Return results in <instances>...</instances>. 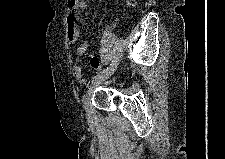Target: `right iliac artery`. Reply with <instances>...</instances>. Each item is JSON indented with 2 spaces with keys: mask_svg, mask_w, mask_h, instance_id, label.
<instances>
[{
  "mask_svg": "<svg viewBox=\"0 0 225 159\" xmlns=\"http://www.w3.org/2000/svg\"><path fill=\"white\" fill-rule=\"evenodd\" d=\"M118 60H119V58L116 57V58L114 59V61H112V64H110V67H107L106 69H104V70H103L101 73H99L97 76H99V75H101V74L107 72L111 67H113L115 64H117ZM97 76H95V77L93 78L92 82L96 79Z\"/></svg>",
  "mask_w": 225,
  "mask_h": 159,
  "instance_id": "obj_1",
  "label": "right iliac artery"
}]
</instances>
